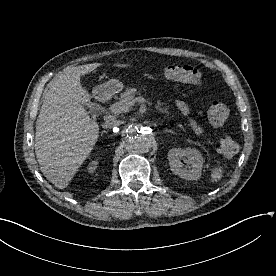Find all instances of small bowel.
<instances>
[{
    "label": "small bowel",
    "mask_w": 276,
    "mask_h": 276,
    "mask_svg": "<svg viewBox=\"0 0 276 276\" xmlns=\"http://www.w3.org/2000/svg\"><path fill=\"white\" fill-rule=\"evenodd\" d=\"M175 105H176V108L184 116H186L188 118V120L190 122V126L193 129V131L196 132V133H202L203 132V128L194 119H192L190 117L188 106L183 101H176Z\"/></svg>",
    "instance_id": "obj_1"
}]
</instances>
